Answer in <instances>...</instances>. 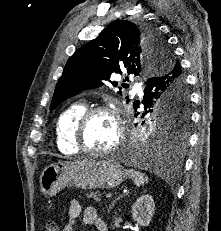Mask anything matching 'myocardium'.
Masks as SVG:
<instances>
[{"instance_id":"myocardium-1","label":"myocardium","mask_w":221,"mask_h":231,"mask_svg":"<svg viewBox=\"0 0 221 231\" xmlns=\"http://www.w3.org/2000/svg\"><path fill=\"white\" fill-rule=\"evenodd\" d=\"M99 113H106L110 115L114 121V124L116 126L117 130V137L114 142V144L102 151H94L90 150L86 147L85 144V129L87 126L88 121L96 114ZM125 136V128L123 121L121 119L119 110L117 109L116 106L112 105H98V106H93L90 108H87L77 119L74 127V145L76 148L87 155L90 156H95V157H103L112 154L115 152L117 149L120 148Z\"/></svg>"}]
</instances>
